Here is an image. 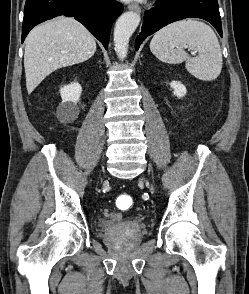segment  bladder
I'll return each mask as SVG.
<instances>
[{
	"label": "bladder",
	"mask_w": 249,
	"mask_h": 294,
	"mask_svg": "<svg viewBox=\"0 0 249 294\" xmlns=\"http://www.w3.org/2000/svg\"><path fill=\"white\" fill-rule=\"evenodd\" d=\"M138 223L139 221L133 217H129V216L114 217L105 224V232L112 233L116 231L120 225H131V224H138Z\"/></svg>",
	"instance_id": "obj_1"
}]
</instances>
